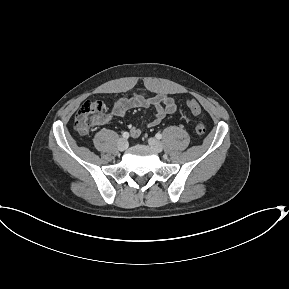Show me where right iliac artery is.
Masks as SVG:
<instances>
[{
    "mask_svg": "<svg viewBox=\"0 0 289 289\" xmlns=\"http://www.w3.org/2000/svg\"><path fill=\"white\" fill-rule=\"evenodd\" d=\"M122 137H123L124 139L129 138V133H128V132H124V133L122 134Z\"/></svg>",
    "mask_w": 289,
    "mask_h": 289,
    "instance_id": "right-iliac-artery-1",
    "label": "right iliac artery"
}]
</instances>
